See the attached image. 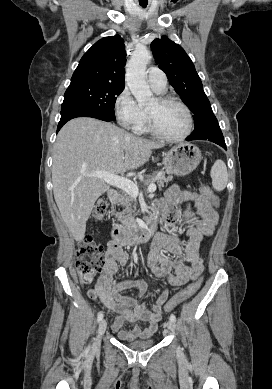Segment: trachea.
I'll return each mask as SVG.
<instances>
[{
    "label": "trachea",
    "mask_w": 272,
    "mask_h": 389,
    "mask_svg": "<svg viewBox=\"0 0 272 389\" xmlns=\"http://www.w3.org/2000/svg\"><path fill=\"white\" fill-rule=\"evenodd\" d=\"M140 6H141L142 8H146V7H147V4H140Z\"/></svg>",
    "instance_id": "1"
}]
</instances>
